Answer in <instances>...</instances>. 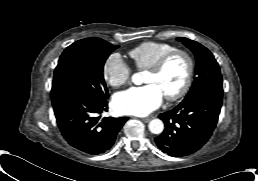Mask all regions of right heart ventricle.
<instances>
[{
  "label": "right heart ventricle",
  "mask_w": 258,
  "mask_h": 181,
  "mask_svg": "<svg viewBox=\"0 0 258 181\" xmlns=\"http://www.w3.org/2000/svg\"><path fill=\"white\" fill-rule=\"evenodd\" d=\"M176 49L175 46L158 41H145L132 48L128 55L138 69L144 70L152 66L161 56Z\"/></svg>",
  "instance_id": "1"
}]
</instances>
